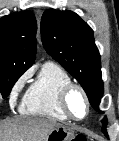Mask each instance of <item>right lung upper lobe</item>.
<instances>
[{"label": "right lung upper lobe", "mask_w": 119, "mask_h": 141, "mask_svg": "<svg viewBox=\"0 0 119 141\" xmlns=\"http://www.w3.org/2000/svg\"><path fill=\"white\" fill-rule=\"evenodd\" d=\"M37 23L29 11L0 18V71L25 72L36 57Z\"/></svg>", "instance_id": "1"}]
</instances>
